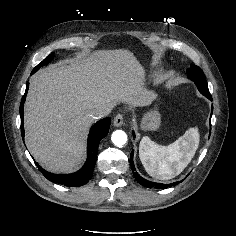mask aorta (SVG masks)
<instances>
[{"instance_id": "762f6f07", "label": "aorta", "mask_w": 236, "mask_h": 236, "mask_svg": "<svg viewBox=\"0 0 236 236\" xmlns=\"http://www.w3.org/2000/svg\"><path fill=\"white\" fill-rule=\"evenodd\" d=\"M111 140L115 146L122 147L127 142V135L122 130H116L113 132Z\"/></svg>"}]
</instances>
